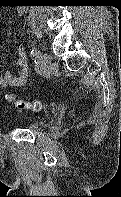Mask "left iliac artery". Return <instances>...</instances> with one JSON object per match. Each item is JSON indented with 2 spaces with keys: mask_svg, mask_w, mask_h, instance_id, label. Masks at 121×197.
I'll return each instance as SVG.
<instances>
[{
  "mask_svg": "<svg viewBox=\"0 0 121 197\" xmlns=\"http://www.w3.org/2000/svg\"><path fill=\"white\" fill-rule=\"evenodd\" d=\"M30 55L31 57H34L35 59L39 58L40 55V50L37 47H34L31 51H30Z\"/></svg>",
  "mask_w": 121,
  "mask_h": 197,
  "instance_id": "left-iliac-artery-1",
  "label": "left iliac artery"
}]
</instances>
